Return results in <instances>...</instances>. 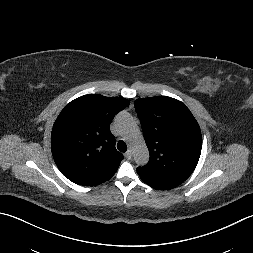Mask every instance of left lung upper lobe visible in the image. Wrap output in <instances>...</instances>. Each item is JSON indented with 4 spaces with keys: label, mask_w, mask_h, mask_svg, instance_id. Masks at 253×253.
<instances>
[{
    "label": "left lung upper lobe",
    "mask_w": 253,
    "mask_h": 253,
    "mask_svg": "<svg viewBox=\"0 0 253 253\" xmlns=\"http://www.w3.org/2000/svg\"><path fill=\"white\" fill-rule=\"evenodd\" d=\"M135 109L149 162L137 168L148 183L182 184L194 171L202 148L200 127L181 101L166 96L136 99Z\"/></svg>",
    "instance_id": "obj_1"
}]
</instances>
